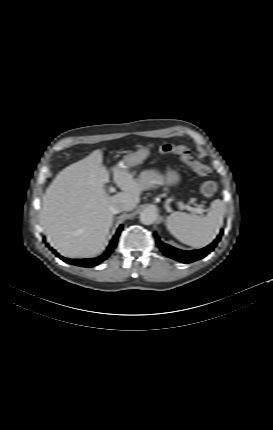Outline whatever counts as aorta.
I'll return each instance as SVG.
<instances>
[{
    "instance_id": "aorta-1",
    "label": "aorta",
    "mask_w": 273,
    "mask_h": 430,
    "mask_svg": "<svg viewBox=\"0 0 273 430\" xmlns=\"http://www.w3.org/2000/svg\"><path fill=\"white\" fill-rule=\"evenodd\" d=\"M157 219V212L154 209H145L140 214V222L145 225L153 224Z\"/></svg>"
}]
</instances>
